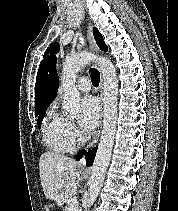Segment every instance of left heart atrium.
Returning a JSON list of instances; mask_svg holds the SVG:
<instances>
[{"mask_svg": "<svg viewBox=\"0 0 178 211\" xmlns=\"http://www.w3.org/2000/svg\"><path fill=\"white\" fill-rule=\"evenodd\" d=\"M99 115L100 105L94 97L88 96L81 101L79 125L84 132L88 133L96 127Z\"/></svg>", "mask_w": 178, "mask_h": 211, "instance_id": "1", "label": "left heart atrium"}]
</instances>
